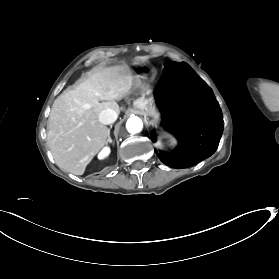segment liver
Segmentation results:
<instances>
[{
    "instance_id": "obj_1",
    "label": "liver",
    "mask_w": 279,
    "mask_h": 279,
    "mask_svg": "<svg viewBox=\"0 0 279 279\" xmlns=\"http://www.w3.org/2000/svg\"><path fill=\"white\" fill-rule=\"evenodd\" d=\"M133 88L134 83L121 68L94 70L76 90L62 93L54 101L47 145L61 169L74 175L85 172L108 145V128L99 121V113L108 108L119 112L116 101Z\"/></svg>"
}]
</instances>
